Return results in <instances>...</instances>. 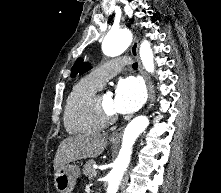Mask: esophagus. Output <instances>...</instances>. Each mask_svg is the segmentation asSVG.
<instances>
[{
	"label": "esophagus",
	"instance_id": "1",
	"mask_svg": "<svg viewBox=\"0 0 221 193\" xmlns=\"http://www.w3.org/2000/svg\"><path fill=\"white\" fill-rule=\"evenodd\" d=\"M138 49H139V43H138L137 38L134 37L133 43H132V46H131V53L138 61L139 71H140L141 75L143 76V78H144V80L146 82L147 89H148V99L150 100L151 97H152V91H151V87H150V83H149V80L147 78V75L145 74V72H144V70L142 68V65H141V62H140V59H139V55H138ZM122 132H123V128L117 129L116 131H114L111 134V139H113V140L120 139V137L122 135Z\"/></svg>",
	"mask_w": 221,
	"mask_h": 193
}]
</instances>
